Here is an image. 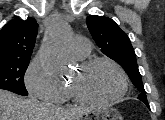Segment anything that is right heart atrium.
<instances>
[{"label": "right heart atrium", "instance_id": "1", "mask_svg": "<svg viewBox=\"0 0 165 120\" xmlns=\"http://www.w3.org/2000/svg\"><path fill=\"white\" fill-rule=\"evenodd\" d=\"M25 84L29 93L38 99L53 103L65 99V87L49 73L38 57L28 66Z\"/></svg>", "mask_w": 165, "mask_h": 120}]
</instances>
